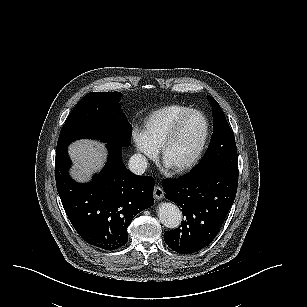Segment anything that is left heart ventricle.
<instances>
[{
    "label": "left heart ventricle",
    "mask_w": 307,
    "mask_h": 307,
    "mask_svg": "<svg viewBox=\"0 0 307 307\" xmlns=\"http://www.w3.org/2000/svg\"><path fill=\"white\" fill-rule=\"evenodd\" d=\"M198 123L197 116L192 114L191 118L178 128L175 141L170 143L171 147L166 152L168 159L184 162L194 155L201 138Z\"/></svg>",
    "instance_id": "b2bd125f"
}]
</instances>
